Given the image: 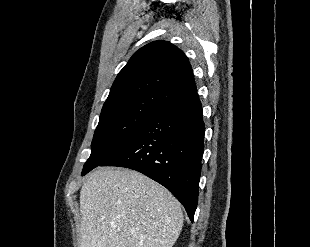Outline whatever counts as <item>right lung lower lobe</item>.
I'll return each instance as SVG.
<instances>
[{
    "label": "right lung lower lobe",
    "instance_id": "98d812e1",
    "mask_svg": "<svg viewBox=\"0 0 310 247\" xmlns=\"http://www.w3.org/2000/svg\"><path fill=\"white\" fill-rule=\"evenodd\" d=\"M205 125L197 92L160 110L99 166L139 171L166 187L193 222Z\"/></svg>",
    "mask_w": 310,
    "mask_h": 247
}]
</instances>
